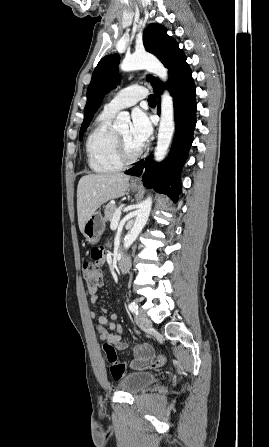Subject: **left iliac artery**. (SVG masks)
Returning a JSON list of instances; mask_svg holds the SVG:
<instances>
[{
	"label": "left iliac artery",
	"instance_id": "obj_1",
	"mask_svg": "<svg viewBox=\"0 0 269 447\" xmlns=\"http://www.w3.org/2000/svg\"><path fill=\"white\" fill-rule=\"evenodd\" d=\"M128 308L131 312L135 313L136 315H138V305L135 302H131L128 305Z\"/></svg>",
	"mask_w": 269,
	"mask_h": 447
}]
</instances>
